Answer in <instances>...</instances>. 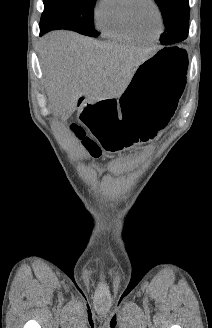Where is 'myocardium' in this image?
<instances>
[{
    "label": "myocardium",
    "mask_w": 212,
    "mask_h": 328,
    "mask_svg": "<svg viewBox=\"0 0 212 328\" xmlns=\"http://www.w3.org/2000/svg\"><path fill=\"white\" fill-rule=\"evenodd\" d=\"M128 5H127V18H128V21L131 25V27L133 28V30L137 33V34H140L142 29L140 28V26L138 25L136 19H135V16H134V7L136 5V3L139 1V0H128ZM152 6L153 8L155 9L156 11V14L158 16V20H159V28L158 30L156 31V35L159 36L162 32V29H163V24H164V20H163V15H162V12H161V9L160 7L158 6L157 2L155 0H147Z\"/></svg>",
    "instance_id": "f54148a6"
}]
</instances>
